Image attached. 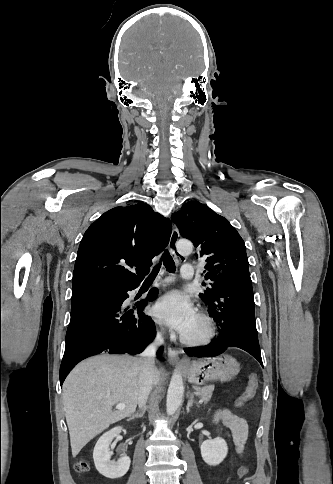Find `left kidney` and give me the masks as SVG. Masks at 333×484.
<instances>
[{"label": "left kidney", "mask_w": 333, "mask_h": 484, "mask_svg": "<svg viewBox=\"0 0 333 484\" xmlns=\"http://www.w3.org/2000/svg\"><path fill=\"white\" fill-rule=\"evenodd\" d=\"M227 453V443L220 437L206 440L201 444L202 458L210 466L219 465L226 458Z\"/></svg>", "instance_id": "5707ae66"}]
</instances>
